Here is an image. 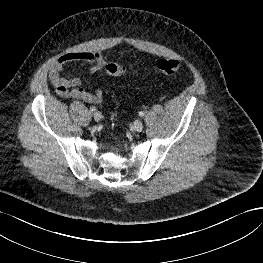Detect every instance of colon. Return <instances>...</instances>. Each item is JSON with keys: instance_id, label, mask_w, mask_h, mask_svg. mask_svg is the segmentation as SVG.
Segmentation results:
<instances>
[{"instance_id": "obj_1", "label": "colon", "mask_w": 263, "mask_h": 263, "mask_svg": "<svg viewBox=\"0 0 263 263\" xmlns=\"http://www.w3.org/2000/svg\"><path fill=\"white\" fill-rule=\"evenodd\" d=\"M183 69V64L177 59L164 58L157 62L155 72L159 75L169 76L180 74ZM104 70L107 74L112 76H122L128 73H136L140 71V68L129 69L119 63H107L104 65Z\"/></svg>"}]
</instances>
